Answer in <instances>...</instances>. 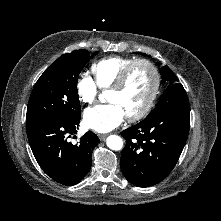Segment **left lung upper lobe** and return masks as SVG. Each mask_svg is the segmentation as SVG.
<instances>
[{
	"label": "left lung upper lobe",
	"instance_id": "left-lung-upper-lobe-1",
	"mask_svg": "<svg viewBox=\"0 0 221 221\" xmlns=\"http://www.w3.org/2000/svg\"><path fill=\"white\" fill-rule=\"evenodd\" d=\"M141 55H145V53H141ZM162 83L168 82V87L160 98L159 104L154 110L148 115H153L159 107H161L164 103H166L170 94H179L180 92L186 93L181 83H178V78L172 72V70L168 66H164L160 69Z\"/></svg>",
	"mask_w": 221,
	"mask_h": 221
}]
</instances>
